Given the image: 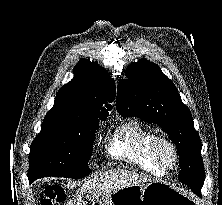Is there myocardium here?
I'll return each instance as SVG.
<instances>
[{"mask_svg": "<svg viewBox=\"0 0 222 205\" xmlns=\"http://www.w3.org/2000/svg\"><path fill=\"white\" fill-rule=\"evenodd\" d=\"M163 146L170 148L173 153V160L170 164L164 162L160 156V148ZM150 151L155 163L163 170L169 171L177 166L179 161V152L176 144L170 139L163 136H154L151 140Z\"/></svg>", "mask_w": 222, "mask_h": 205, "instance_id": "f54148a6", "label": "myocardium"}]
</instances>
